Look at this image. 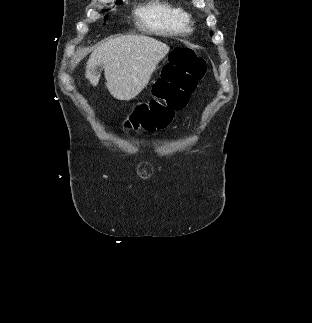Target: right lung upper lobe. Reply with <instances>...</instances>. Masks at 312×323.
Segmentation results:
<instances>
[{"mask_svg": "<svg viewBox=\"0 0 312 323\" xmlns=\"http://www.w3.org/2000/svg\"><path fill=\"white\" fill-rule=\"evenodd\" d=\"M122 0H117V3L119 4Z\"/></svg>", "mask_w": 312, "mask_h": 323, "instance_id": "obj_1", "label": "right lung upper lobe"}]
</instances>
